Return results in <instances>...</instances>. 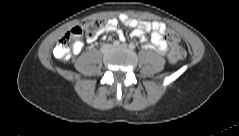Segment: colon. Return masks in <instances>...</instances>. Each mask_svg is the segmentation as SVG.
Wrapping results in <instances>:
<instances>
[{"label":"colon","mask_w":239,"mask_h":136,"mask_svg":"<svg viewBox=\"0 0 239 136\" xmlns=\"http://www.w3.org/2000/svg\"><path fill=\"white\" fill-rule=\"evenodd\" d=\"M100 32V23L95 20L84 22L68 31L58 42L54 49V55L60 59H67L74 52L80 43L82 35L88 38H95ZM166 38L172 43V49L169 53V61L178 63L185 57V49L179 45L180 37L173 30H167Z\"/></svg>","instance_id":"obj_1"}]
</instances>
